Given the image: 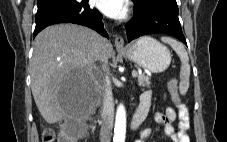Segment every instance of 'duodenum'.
<instances>
[{"instance_id":"410a0bca","label":"duodenum","mask_w":227,"mask_h":142,"mask_svg":"<svg viewBox=\"0 0 227 142\" xmlns=\"http://www.w3.org/2000/svg\"><path fill=\"white\" fill-rule=\"evenodd\" d=\"M148 112H149L148 104L142 103L140 101V105L130 121L131 129L133 130L137 129L147 117ZM112 117H113L112 112L110 110H106L105 118L107 121V126H110V124L112 123Z\"/></svg>"}]
</instances>
